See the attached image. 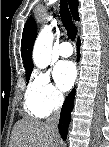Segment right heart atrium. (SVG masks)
I'll use <instances>...</instances> for the list:
<instances>
[{
  "instance_id": "obj_1",
  "label": "right heart atrium",
  "mask_w": 109,
  "mask_h": 147,
  "mask_svg": "<svg viewBox=\"0 0 109 147\" xmlns=\"http://www.w3.org/2000/svg\"><path fill=\"white\" fill-rule=\"evenodd\" d=\"M27 100L37 105L44 115L58 109L64 100V95L51 82L48 72H36L29 84Z\"/></svg>"
}]
</instances>
